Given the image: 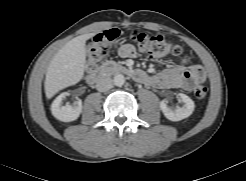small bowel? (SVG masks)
I'll return each mask as SVG.
<instances>
[{"instance_id": "obj_1", "label": "small bowel", "mask_w": 246, "mask_h": 181, "mask_svg": "<svg viewBox=\"0 0 246 181\" xmlns=\"http://www.w3.org/2000/svg\"><path fill=\"white\" fill-rule=\"evenodd\" d=\"M118 54L122 58H131L135 55V49L129 44H124L119 47ZM205 78L203 70L195 71L194 65H191V58L184 54L180 57L179 65L171 66L158 74H147L144 82L160 90L183 88L191 91L196 85L203 83Z\"/></svg>"}]
</instances>
